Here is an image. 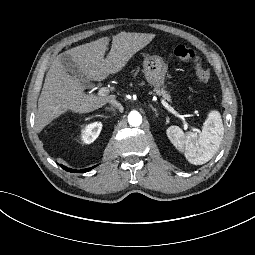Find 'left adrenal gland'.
Segmentation results:
<instances>
[{"instance_id":"left-adrenal-gland-1","label":"left adrenal gland","mask_w":255,"mask_h":255,"mask_svg":"<svg viewBox=\"0 0 255 255\" xmlns=\"http://www.w3.org/2000/svg\"><path fill=\"white\" fill-rule=\"evenodd\" d=\"M151 109L155 112L156 115H158V112L155 108L151 107Z\"/></svg>"}]
</instances>
